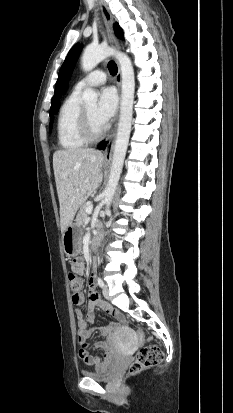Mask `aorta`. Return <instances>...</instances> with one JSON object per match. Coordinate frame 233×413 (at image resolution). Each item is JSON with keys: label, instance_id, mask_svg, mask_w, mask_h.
<instances>
[{"label": "aorta", "instance_id": "obj_1", "mask_svg": "<svg viewBox=\"0 0 233 413\" xmlns=\"http://www.w3.org/2000/svg\"><path fill=\"white\" fill-rule=\"evenodd\" d=\"M110 56H114L119 62L122 75V91L120 117L113 152L112 166L109 180L104 192V204L106 205V211L109 210L118 181L120 179L131 132L135 91L134 69L130 58L125 53L116 51L106 45L96 47L88 46L82 55V68L85 72L91 71L98 63ZM82 98L86 104L96 105L98 94L93 89L86 88L83 92Z\"/></svg>", "mask_w": 233, "mask_h": 413}]
</instances>
